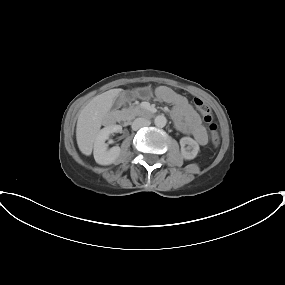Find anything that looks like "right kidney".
I'll use <instances>...</instances> for the list:
<instances>
[{
    "label": "right kidney",
    "instance_id": "1",
    "mask_svg": "<svg viewBox=\"0 0 285 285\" xmlns=\"http://www.w3.org/2000/svg\"><path fill=\"white\" fill-rule=\"evenodd\" d=\"M122 131L120 125H109L101 129L94 141V159L100 165H110L114 163L120 156L121 149L114 146L108 149L105 141L109 138L111 133H119Z\"/></svg>",
    "mask_w": 285,
    "mask_h": 285
}]
</instances>
